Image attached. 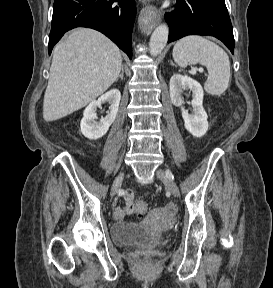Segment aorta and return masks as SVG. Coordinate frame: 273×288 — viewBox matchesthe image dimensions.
<instances>
[{
    "label": "aorta",
    "instance_id": "obj_1",
    "mask_svg": "<svg viewBox=\"0 0 273 288\" xmlns=\"http://www.w3.org/2000/svg\"><path fill=\"white\" fill-rule=\"evenodd\" d=\"M169 29L166 24H161L156 27L150 38V54L152 56L159 55L165 48L168 40Z\"/></svg>",
    "mask_w": 273,
    "mask_h": 288
}]
</instances>
